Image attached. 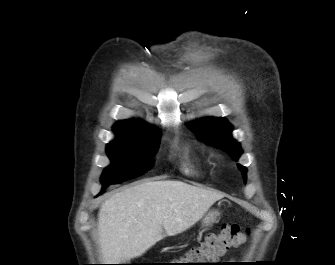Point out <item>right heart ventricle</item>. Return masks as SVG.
Returning a JSON list of instances; mask_svg holds the SVG:
<instances>
[{"instance_id":"1","label":"right heart ventricle","mask_w":335,"mask_h":265,"mask_svg":"<svg viewBox=\"0 0 335 265\" xmlns=\"http://www.w3.org/2000/svg\"><path fill=\"white\" fill-rule=\"evenodd\" d=\"M199 161L196 160L195 163H198ZM195 164L194 163H191V162H187L185 165H184V172L186 174H195L196 173V169H195Z\"/></svg>"}]
</instances>
